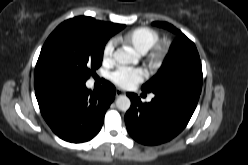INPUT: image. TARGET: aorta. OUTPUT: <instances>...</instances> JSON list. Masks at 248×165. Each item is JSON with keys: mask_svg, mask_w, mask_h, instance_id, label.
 Masks as SVG:
<instances>
[{"mask_svg": "<svg viewBox=\"0 0 248 165\" xmlns=\"http://www.w3.org/2000/svg\"><path fill=\"white\" fill-rule=\"evenodd\" d=\"M114 59L119 64H122V65H127L130 63H133V64L138 63V57L134 53L121 50V49H118L114 53ZM130 105H131V101L125 95L119 96L116 100V106L121 111H127L130 108Z\"/></svg>", "mask_w": 248, "mask_h": 165, "instance_id": "762f6f07", "label": "aorta"}]
</instances>
